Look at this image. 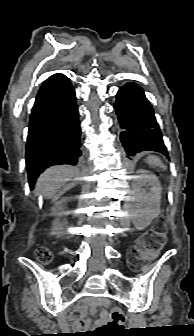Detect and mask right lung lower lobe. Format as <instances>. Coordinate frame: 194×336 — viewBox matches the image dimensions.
<instances>
[{"mask_svg": "<svg viewBox=\"0 0 194 336\" xmlns=\"http://www.w3.org/2000/svg\"><path fill=\"white\" fill-rule=\"evenodd\" d=\"M80 134L74 88L69 78L55 74L41 86L30 116L26 146L30 188L46 168L79 162Z\"/></svg>", "mask_w": 194, "mask_h": 336, "instance_id": "1", "label": "right lung lower lobe"}]
</instances>
